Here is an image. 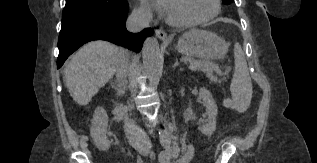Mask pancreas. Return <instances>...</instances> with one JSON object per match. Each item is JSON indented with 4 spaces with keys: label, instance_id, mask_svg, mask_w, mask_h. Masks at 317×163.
<instances>
[{
    "label": "pancreas",
    "instance_id": "1",
    "mask_svg": "<svg viewBox=\"0 0 317 163\" xmlns=\"http://www.w3.org/2000/svg\"><path fill=\"white\" fill-rule=\"evenodd\" d=\"M185 59L190 63L189 68L191 70H201L205 72L212 81L217 82V76L214 75V72L220 74V69L217 65L207 61L196 60L190 57H186Z\"/></svg>",
    "mask_w": 317,
    "mask_h": 163
}]
</instances>
